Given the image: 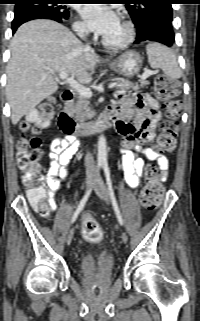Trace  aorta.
Returning a JSON list of instances; mask_svg holds the SVG:
<instances>
[{"label":"aorta","mask_w":200,"mask_h":321,"mask_svg":"<svg viewBox=\"0 0 200 321\" xmlns=\"http://www.w3.org/2000/svg\"><path fill=\"white\" fill-rule=\"evenodd\" d=\"M97 159L99 164L107 163V143L103 135H101L98 139Z\"/></svg>","instance_id":"aorta-1"}]
</instances>
